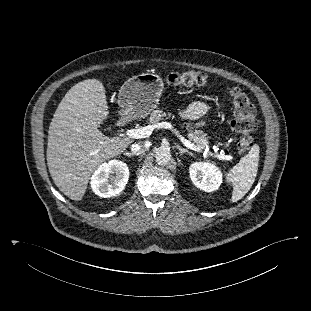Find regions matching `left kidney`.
Returning a JSON list of instances; mask_svg holds the SVG:
<instances>
[{
	"label": "left kidney",
	"mask_w": 311,
	"mask_h": 311,
	"mask_svg": "<svg viewBox=\"0 0 311 311\" xmlns=\"http://www.w3.org/2000/svg\"><path fill=\"white\" fill-rule=\"evenodd\" d=\"M189 173L193 184L206 192L217 190L222 183V174L213 164L195 162Z\"/></svg>",
	"instance_id": "1"
}]
</instances>
